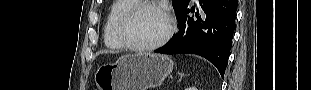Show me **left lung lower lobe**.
Listing matches in <instances>:
<instances>
[{"instance_id":"1","label":"left lung lower lobe","mask_w":311,"mask_h":90,"mask_svg":"<svg viewBox=\"0 0 311 90\" xmlns=\"http://www.w3.org/2000/svg\"><path fill=\"white\" fill-rule=\"evenodd\" d=\"M190 17L188 5L181 11L176 37L155 50L163 54H197L213 63L224 76L232 45L237 0H199ZM189 4V3H188Z\"/></svg>"}]
</instances>
